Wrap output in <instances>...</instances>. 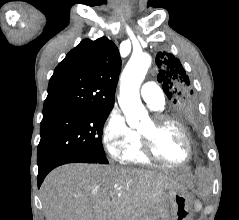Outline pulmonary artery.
<instances>
[{
    "instance_id": "e3ab8cb5",
    "label": "pulmonary artery",
    "mask_w": 239,
    "mask_h": 220,
    "mask_svg": "<svg viewBox=\"0 0 239 220\" xmlns=\"http://www.w3.org/2000/svg\"><path fill=\"white\" fill-rule=\"evenodd\" d=\"M141 97L145 103L152 109H163L165 105V97L162 89L153 81L143 84L141 88Z\"/></svg>"
}]
</instances>
